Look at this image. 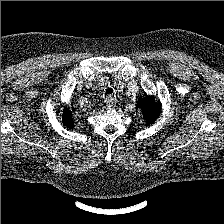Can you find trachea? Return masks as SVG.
<instances>
[{
	"instance_id": "1",
	"label": "trachea",
	"mask_w": 224,
	"mask_h": 224,
	"mask_svg": "<svg viewBox=\"0 0 224 224\" xmlns=\"http://www.w3.org/2000/svg\"><path fill=\"white\" fill-rule=\"evenodd\" d=\"M109 95H111V96L114 95V91H113L112 88H108V89H106L105 97H106V96H109Z\"/></svg>"
}]
</instances>
